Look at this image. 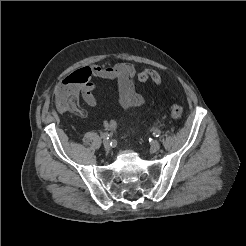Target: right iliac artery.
I'll return each instance as SVG.
<instances>
[{
	"label": "right iliac artery",
	"mask_w": 246,
	"mask_h": 246,
	"mask_svg": "<svg viewBox=\"0 0 246 246\" xmlns=\"http://www.w3.org/2000/svg\"><path fill=\"white\" fill-rule=\"evenodd\" d=\"M102 137H103L104 139H107V140H108L109 137H110V134L107 133V132H106V133H103V134H102Z\"/></svg>",
	"instance_id": "82829eb1"
}]
</instances>
